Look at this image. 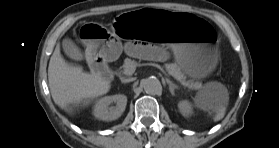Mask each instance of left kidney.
Wrapping results in <instances>:
<instances>
[{"mask_svg":"<svg viewBox=\"0 0 279 148\" xmlns=\"http://www.w3.org/2000/svg\"><path fill=\"white\" fill-rule=\"evenodd\" d=\"M178 108L181 114L185 117L191 116L193 114L192 104L187 100L180 101L178 104Z\"/></svg>","mask_w":279,"mask_h":148,"instance_id":"1","label":"left kidney"}]
</instances>
